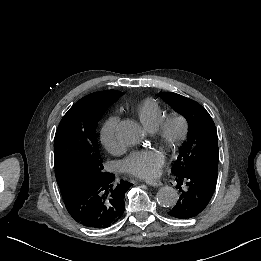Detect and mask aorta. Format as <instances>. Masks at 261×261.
<instances>
[{"instance_id": "1", "label": "aorta", "mask_w": 261, "mask_h": 261, "mask_svg": "<svg viewBox=\"0 0 261 261\" xmlns=\"http://www.w3.org/2000/svg\"><path fill=\"white\" fill-rule=\"evenodd\" d=\"M116 137L124 145H135L143 138V131L136 122L123 120L117 126ZM156 198L159 205L173 207L178 201V193L173 187L164 186L158 190Z\"/></svg>"}]
</instances>
